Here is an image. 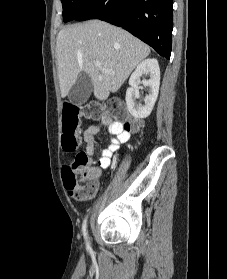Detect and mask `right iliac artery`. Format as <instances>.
Masks as SVG:
<instances>
[{
	"instance_id": "obj_1",
	"label": "right iliac artery",
	"mask_w": 227,
	"mask_h": 279,
	"mask_svg": "<svg viewBox=\"0 0 227 279\" xmlns=\"http://www.w3.org/2000/svg\"><path fill=\"white\" fill-rule=\"evenodd\" d=\"M82 231H83L84 238L86 240V246L89 249L90 244H89L88 234H87V217L83 221Z\"/></svg>"
}]
</instances>
